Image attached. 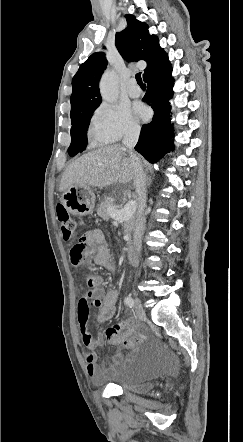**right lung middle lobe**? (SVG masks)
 I'll return each instance as SVG.
<instances>
[{"mask_svg":"<svg viewBox=\"0 0 243 442\" xmlns=\"http://www.w3.org/2000/svg\"><path fill=\"white\" fill-rule=\"evenodd\" d=\"M95 109L84 112L72 120L71 124V144L68 148L70 156H75L82 152L87 145L86 131L90 123V117Z\"/></svg>","mask_w":243,"mask_h":442,"instance_id":"1","label":"right lung middle lobe"}]
</instances>
